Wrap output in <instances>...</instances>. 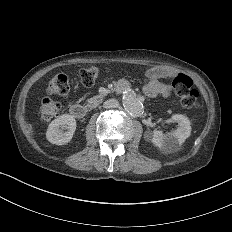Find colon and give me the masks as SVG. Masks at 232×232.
<instances>
[{"label":"colon","mask_w":232,"mask_h":232,"mask_svg":"<svg viewBox=\"0 0 232 232\" xmlns=\"http://www.w3.org/2000/svg\"><path fill=\"white\" fill-rule=\"evenodd\" d=\"M77 72L82 73V86L90 88L94 84L92 76H96L97 72H100V67L87 64L84 68H78ZM52 79H55V81H45L48 94L55 98H61L65 92H70V84H68L70 77H67V74H52ZM164 79L171 86H175V92L180 96L184 107H194V111H199V106L195 102V99L199 96V91L194 87L193 80L189 76L179 70L169 69L164 74ZM35 103H38V107H44L43 113L47 114V116L40 117L41 121H48L49 117H62V112H59L57 108L59 105L57 100L48 102V98H35Z\"/></svg>","instance_id":"1"}]
</instances>
